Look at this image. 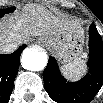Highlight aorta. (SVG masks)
Listing matches in <instances>:
<instances>
[{
	"label": "aorta",
	"instance_id": "aorta-1",
	"mask_svg": "<svg viewBox=\"0 0 103 103\" xmlns=\"http://www.w3.org/2000/svg\"><path fill=\"white\" fill-rule=\"evenodd\" d=\"M21 62L26 70L40 71L47 64V54L36 48H26L22 53Z\"/></svg>",
	"mask_w": 103,
	"mask_h": 103
}]
</instances>
